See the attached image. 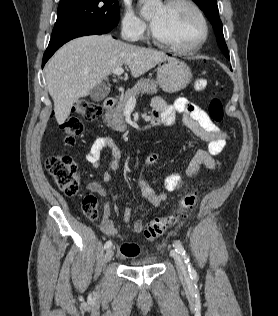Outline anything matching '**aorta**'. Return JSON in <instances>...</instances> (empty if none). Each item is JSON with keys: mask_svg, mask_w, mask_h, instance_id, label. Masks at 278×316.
<instances>
[{"mask_svg": "<svg viewBox=\"0 0 278 316\" xmlns=\"http://www.w3.org/2000/svg\"><path fill=\"white\" fill-rule=\"evenodd\" d=\"M143 3L142 15L147 17L151 15L158 7L160 0H141Z\"/></svg>", "mask_w": 278, "mask_h": 316, "instance_id": "762f6f07", "label": "aorta"}]
</instances>
